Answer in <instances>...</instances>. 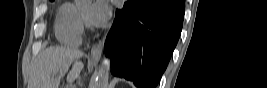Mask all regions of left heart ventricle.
I'll list each match as a JSON object with an SVG mask.
<instances>
[{
  "label": "left heart ventricle",
  "instance_id": "b2bd125f",
  "mask_svg": "<svg viewBox=\"0 0 267 88\" xmlns=\"http://www.w3.org/2000/svg\"><path fill=\"white\" fill-rule=\"evenodd\" d=\"M84 14L86 15L87 12H88V8L86 7L84 10H83Z\"/></svg>",
  "mask_w": 267,
  "mask_h": 88
}]
</instances>
